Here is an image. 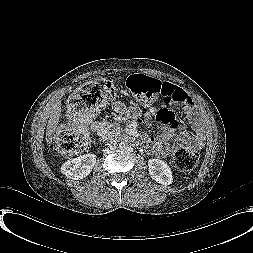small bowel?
I'll return each mask as SVG.
<instances>
[{"instance_id":"c3829d8e","label":"small bowel","mask_w":253,"mask_h":253,"mask_svg":"<svg viewBox=\"0 0 253 253\" xmlns=\"http://www.w3.org/2000/svg\"><path fill=\"white\" fill-rule=\"evenodd\" d=\"M176 97V103H182L184 105V114L186 118L193 123L195 135H190L187 132H182L180 135H176V133L181 130V125L171 111L168 109H149L144 114L145 120L151 121L154 117H156L165 125V129L163 134L158 137H152L148 134H143L142 140L149 144V152L152 155L160 158H165L168 155L175 153L183 146H186L194 151L200 150L202 146L200 117L195 109L191 97L183 89L177 87ZM112 108L117 114L127 115L134 120H139V118L142 116L140 108L135 106L128 107L121 102L114 103ZM90 129L98 136L99 139H105L117 132L118 127L112 122L102 120L91 122Z\"/></svg>"}]
</instances>
